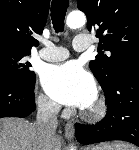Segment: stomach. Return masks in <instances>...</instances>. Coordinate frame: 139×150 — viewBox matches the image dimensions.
Listing matches in <instances>:
<instances>
[{"label": "stomach", "mask_w": 139, "mask_h": 150, "mask_svg": "<svg viewBox=\"0 0 139 150\" xmlns=\"http://www.w3.org/2000/svg\"><path fill=\"white\" fill-rule=\"evenodd\" d=\"M89 150H113V147L109 144H100L98 146L92 147Z\"/></svg>", "instance_id": "0dacf381"}]
</instances>
